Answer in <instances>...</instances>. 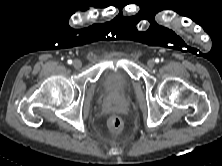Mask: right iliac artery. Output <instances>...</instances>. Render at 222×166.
<instances>
[{
    "label": "right iliac artery",
    "mask_w": 222,
    "mask_h": 166,
    "mask_svg": "<svg viewBox=\"0 0 222 166\" xmlns=\"http://www.w3.org/2000/svg\"><path fill=\"white\" fill-rule=\"evenodd\" d=\"M67 62H68V64H72V60H68Z\"/></svg>",
    "instance_id": "82829eb1"
}]
</instances>
